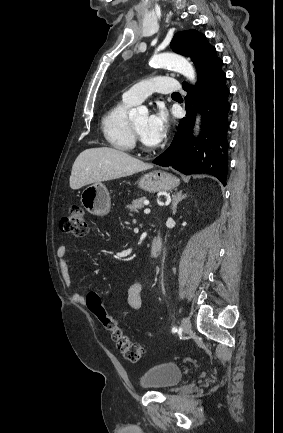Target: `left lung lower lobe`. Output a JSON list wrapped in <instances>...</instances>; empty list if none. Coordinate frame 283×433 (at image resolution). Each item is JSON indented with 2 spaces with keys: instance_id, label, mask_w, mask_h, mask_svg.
Wrapping results in <instances>:
<instances>
[{
  "instance_id": "1",
  "label": "left lung lower lobe",
  "mask_w": 283,
  "mask_h": 433,
  "mask_svg": "<svg viewBox=\"0 0 283 433\" xmlns=\"http://www.w3.org/2000/svg\"><path fill=\"white\" fill-rule=\"evenodd\" d=\"M222 63L213 46L194 62L198 75L196 88L186 82L183 83L184 90L188 92L185 97L186 117L181 119L169 148L154 159L153 163L171 166L186 175L210 174L226 186L230 104ZM196 99H200L201 102L196 103ZM198 104L203 121L201 134L195 139L192 132L195 107Z\"/></svg>"
}]
</instances>
